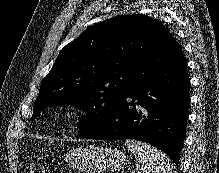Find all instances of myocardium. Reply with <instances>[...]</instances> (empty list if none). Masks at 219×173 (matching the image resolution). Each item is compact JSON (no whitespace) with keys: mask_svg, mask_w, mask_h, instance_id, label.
Here are the masks:
<instances>
[{"mask_svg":"<svg viewBox=\"0 0 219 173\" xmlns=\"http://www.w3.org/2000/svg\"><path fill=\"white\" fill-rule=\"evenodd\" d=\"M72 115H73L72 110L69 108L63 110L60 113L61 119L64 121L69 120L72 117Z\"/></svg>","mask_w":219,"mask_h":173,"instance_id":"myocardium-1","label":"myocardium"}]
</instances>
